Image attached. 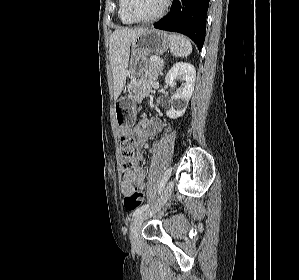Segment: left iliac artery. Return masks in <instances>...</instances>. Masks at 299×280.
<instances>
[{
    "label": "left iliac artery",
    "instance_id": "obj_1",
    "mask_svg": "<svg viewBox=\"0 0 299 280\" xmlns=\"http://www.w3.org/2000/svg\"><path fill=\"white\" fill-rule=\"evenodd\" d=\"M171 172H172V168H169V169L166 170V172H165V174H164V176H163V178H162V180L160 182V185H159V191H158L159 194H161V192L163 191L166 182L168 181V179L171 176ZM148 207H149V204H145V205L141 206L136 211H134V213L132 214V216L133 217L137 216L141 212L145 211Z\"/></svg>",
    "mask_w": 299,
    "mask_h": 280
}]
</instances>
